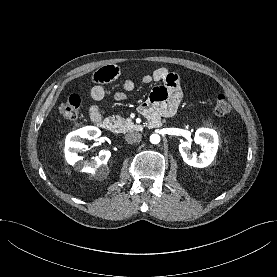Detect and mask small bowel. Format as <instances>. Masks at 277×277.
Segmentation results:
<instances>
[{"label": "small bowel", "mask_w": 277, "mask_h": 277, "mask_svg": "<svg viewBox=\"0 0 277 277\" xmlns=\"http://www.w3.org/2000/svg\"><path fill=\"white\" fill-rule=\"evenodd\" d=\"M119 74V68L113 65L100 68L93 74L94 86L91 88L90 96L95 104L89 109V115L93 122L102 118L101 105L106 96L104 84L116 80ZM152 82L159 85L152 89L149 98L139 106V112L145 117L175 115L182 100V91L178 75L166 68H158L151 74L143 76L139 85L129 79L122 81L123 91L115 93L114 99L122 101L126 99L127 93L137 92L144 85Z\"/></svg>", "instance_id": "small-bowel-1"}]
</instances>
